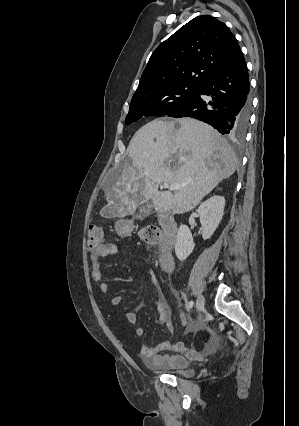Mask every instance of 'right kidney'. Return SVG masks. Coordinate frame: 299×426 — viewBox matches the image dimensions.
Here are the masks:
<instances>
[{
    "label": "right kidney",
    "mask_w": 299,
    "mask_h": 426,
    "mask_svg": "<svg viewBox=\"0 0 299 426\" xmlns=\"http://www.w3.org/2000/svg\"><path fill=\"white\" fill-rule=\"evenodd\" d=\"M225 207V198L213 195L198 207V214L202 226V238L209 239L222 220ZM195 247L191 231L186 225H181L175 244V254L181 261L187 259Z\"/></svg>",
    "instance_id": "1"
}]
</instances>
